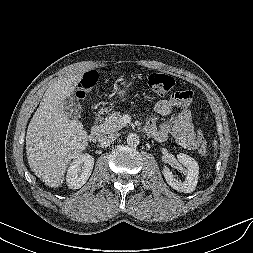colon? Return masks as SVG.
I'll list each match as a JSON object with an SVG mask.
<instances>
[{
	"mask_svg": "<svg viewBox=\"0 0 253 253\" xmlns=\"http://www.w3.org/2000/svg\"><path fill=\"white\" fill-rule=\"evenodd\" d=\"M97 80V75L94 71L84 74L80 88L78 91V97L83 99L89 90L94 86ZM175 85V80L172 76L154 72L148 78L149 90L157 95H164L168 93ZM173 97L179 101L190 103L193 98V94L189 90H180L174 93ZM196 148L200 154L207 152V145L205 140L201 137H197Z\"/></svg>",
	"mask_w": 253,
	"mask_h": 253,
	"instance_id": "colon-1",
	"label": "colon"
}]
</instances>
